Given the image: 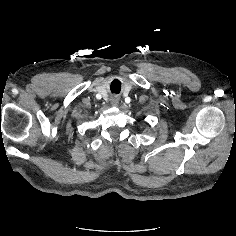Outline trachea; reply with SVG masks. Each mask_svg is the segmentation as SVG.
<instances>
[{"mask_svg":"<svg viewBox=\"0 0 236 236\" xmlns=\"http://www.w3.org/2000/svg\"><path fill=\"white\" fill-rule=\"evenodd\" d=\"M120 89H121L120 81L114 80V81L111 83V91L114 92V93H119V92H120Z\"/></svg>","mask_w":236,"mask_h":236,"instance_id":"3493384b","label":"trachea"}]
</instances>
